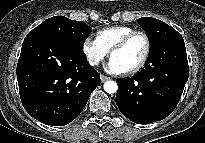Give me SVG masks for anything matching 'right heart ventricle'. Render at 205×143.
<instances>
[{"label": "right heart ventricle", "mask_w": 205, "mask_h": 143, "mask_svg": "<svg viewBox=\"0 0 205 143\" xmlns=\"http://www.w3.org/2000/svg\"><path fill=\"white\" fill-rule=\"evenodd\" d=\"M133 31H135V29L130 26H112L99 30L97 32L96 39L107 51H110L117 42Z\"/></svg>", "instance_id": "right-heart-ventricle-1"}]
</instances>
